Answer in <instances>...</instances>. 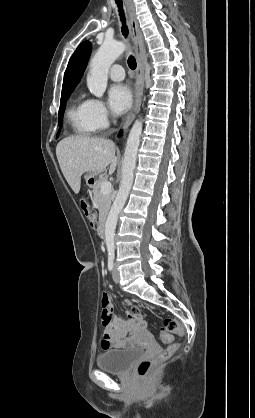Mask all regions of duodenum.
Segmentation results:
<instances>
[{
	"label": "duodenum",
	"instance_id": "1",
	"mask_svg": "<svg viewBox=\"0 0 255 418\" xmlns=\"http://www.w3.org/2000/svg\"><path fill=\"white\" fill-rule=\"evenodd\" d=\"M106 224H107V216L103 215L98 223L97 226V233L100 238H104L106 235Z\"/></svg>",
	"mask_w": 255,
	"mask_h": 418
}]
</instances>
